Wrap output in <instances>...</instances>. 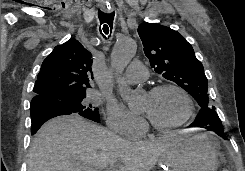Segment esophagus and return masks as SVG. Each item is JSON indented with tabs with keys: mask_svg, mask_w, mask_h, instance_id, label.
<instances>
[{
	"mask_svg": "<svg viewBox=\"0 0 245 171\" xmlns=\"http://www.w3.org/2000/svg\"><path fill=\"white\" fill-rule=\"evenodd\" d=\"M100 8L105 11V12H113L114 8L111 7L110 5L106 4H100Z\"/></svg>",
	"mask_w": 245,
	"mask_h": 171,
	"instance_id": "1",
	"label": "esophagus"
}]
</instances>
